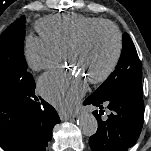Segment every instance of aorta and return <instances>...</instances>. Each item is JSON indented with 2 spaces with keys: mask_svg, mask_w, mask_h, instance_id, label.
Returning a JSON list of instances; mask_svg holds the SVG:
<instances>
[{
  "mask_svg": "<svg viewBox=\"0 0 151 151\" xmlns=\"http://www.w3.org/2000/svg\"><path fill=\"white\" fill-rule=\"evenodd\" d=\"M78 127L85 136H92L98 129V122L91 113H82L78 116Z\"/></svg>",
  "mask_w": 151,
  "mask_h": 151,
  "instance_id": "aorta-1",
  "label": "aorta"
}]
</instances>
